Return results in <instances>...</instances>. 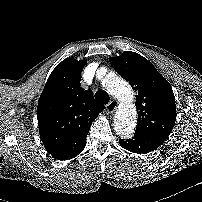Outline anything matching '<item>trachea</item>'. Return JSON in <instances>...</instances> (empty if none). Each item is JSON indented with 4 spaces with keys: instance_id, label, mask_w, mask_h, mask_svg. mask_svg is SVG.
Instances as JSON below:
<instances>
[{
    "instance_id": "trachea-1",
    "label": "trachea",
    "mask_w": 202,
    "mask_h": 202,
    "mask_svg": "<svg viewBox=\"0 0 202 202\" xmlns=\"http://www.w3.org/2000/svg\"><path fill=\"white\" fill-rule=\"evenodd\" d=\"M95 99L98 103L107 104L109 102V95L104 90H98L95 93Z\"/></svg>"
}]
</instances>
